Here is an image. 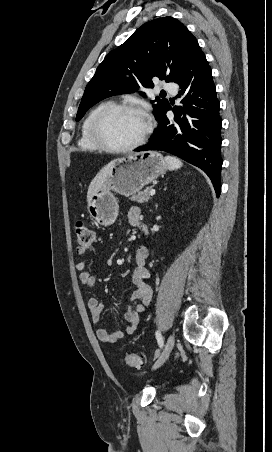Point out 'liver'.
<instances>
[{"instance_id": "obj_1", "label": "liver", "mask_w": 272, "mask_h": 452, "mask_svg": "<svg viewBox=\"0 0 272 452\" xmlns=\"http://www.w3.org/2000/svg\"><path fill=\"white\" fill-rule=\"evenodd\" d=\"M115 160L111 161L109 164H107L106 166H104L100 172L94 177V179L91 181L89 187H88V192H87V202L90 201V198L92 197V195H94L103 185V183L105 182L108 172L110 170V168L112 167V164L114 163Z\"/></svg>"}]
</instances>
